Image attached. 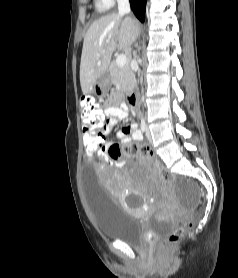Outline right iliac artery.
<instances>
[{
    "instance_id": "right-iliac-artery-1",
    "label": "right iliac artery",
    "mask_w": 238,
    "mask_h": 278,
    "mask_svg": "<svg viewBox=\"0 0 238 278\" xmlns=\"http://www.w3.org/2000/svg\"><path fill=\"white\" fill-rule=\"evenodd\" d=\"M140 127H141L142 132L146 131L147 125H146L145 120L143 118L141 119Z\"/></svg>"
}]
</instances>
